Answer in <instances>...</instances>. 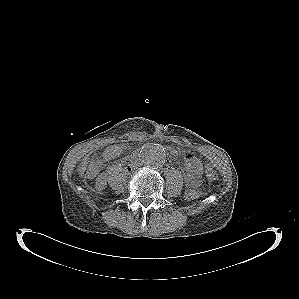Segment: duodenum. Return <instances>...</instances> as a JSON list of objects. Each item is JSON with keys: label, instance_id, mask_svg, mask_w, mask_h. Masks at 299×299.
Wrapping results in <instances>:
<instances>
[{"label": "duodenum", "instance_id": "410a0bca", "mask_svg": "<svg viewBox=\"0 0 299 299\" xmlns=\"http://www.w3.org/2000/svg\"><path fill=\"white\" fill-rule=\"evenodd\" d=\"M135 159H136V156L134 155L130 158V161L133 162Z\"/></svg>", "mask_w": 299, "mask_h": 299}]
</instances>
